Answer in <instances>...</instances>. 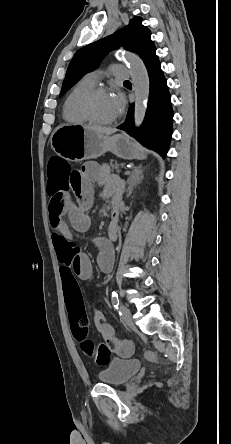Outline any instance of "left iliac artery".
<instances>
[{
	"label": "left iliac artery",
	"instance_id": "44dca946",
	"mask_svg": "<svg viewBox=\"0 0 231 444\" xmlns=\"http://www.w3.org/2000/svg\"><path fill=\"white\" fill-rule=\"evenodd\" d=\"M112 305L115 309H118L119 306V298L117 292L113 291L111 295Z\"/></svg>",
	"mask_w": 231,
	"mask_h": 444
}]
</instances>
